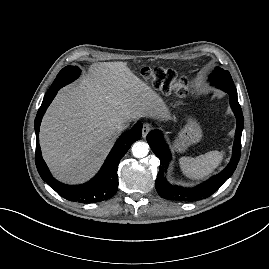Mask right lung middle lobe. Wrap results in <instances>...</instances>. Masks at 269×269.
Instances as JSON below:
<instances>
[{"mask_svg": "<svg viewBox=\"0 0 269 269\" xmlns=\"http://www.w3.org/2000/svg\"><path fill=\"white\" fill-rule=\"evenodd\" d=\"M80 69L77 66H66L63 68L59 74L57 75L56 79L54 80L52 86L49 88V90L55 86L62 85L65 86L72 81H74L78 76L80 75ZM48 90V91H49Z\"/></svg>", "mask_w": 269, "mask_h": 269, "instance_id": "obj_1", "label": "right lung middle lobe"}]
</instances>
